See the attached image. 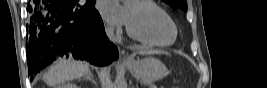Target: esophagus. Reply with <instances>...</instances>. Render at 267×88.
<instances>
[{"instance_id":"esophagus-1","label":"esophagus","mask_w":267,"mask_h":88,"mask_svg":"<svg viewBox=\"0 0 267 88\" xmlns=\"http://www.w3.org/2000/svg\"><path fill=\"white\" fill-rule=\"evenodd\" d=\"M122 54H123V61H124V62L129 63V62H132V61H133V58L130 57V56L125 52V50L122 51Z\"/></svg>"}]
</instances>
